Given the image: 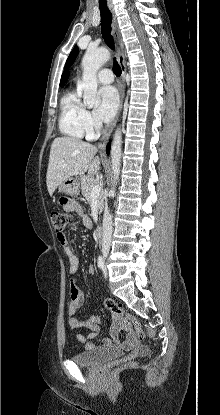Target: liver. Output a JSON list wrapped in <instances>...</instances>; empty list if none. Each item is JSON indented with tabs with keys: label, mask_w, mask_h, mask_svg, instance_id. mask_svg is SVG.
<instances>
[{
	"label": "liver",
	"mask_w": 220,
	"mask_h": 415,
	"mask_svg": "<svg viewBox=\"0 0 220 415\" xmlns=\"http://www.w3.org/2000/svg\"><path fill=\"white\" fill-rule=\"evenodd\" d=\"M96 146L72 137L54 139L46 175L47 189L52 196L56 188L72 176L82 175L86 171L90 175L98 174L100 158L95 157Z\"/></svg>",
	"instance_id": "6515ba94"
}]
</instances>
